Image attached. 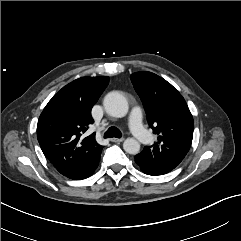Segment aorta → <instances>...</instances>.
I'll list each match as a JSON object with an SVG mask.
<instances>
[{
  "instance_id": "obj_1",
  "label": "aorta",
  "mask_w": 241,
  "mask_h": 241,
  "mask_svg": "<svg viewBox=\"0 0 241 241\" xmlns=\"http://www.w3.org/2000/svg\"><path fill=\"white\" fill-rule=\"evenodd\" d=\"M105 111L113 117L121 118L128 113V102L119 92L108 93L103 102ZM125 152L136 155L140 151V143L134 138H127L123 143Z\"/></svg>"
}]
</instances>
